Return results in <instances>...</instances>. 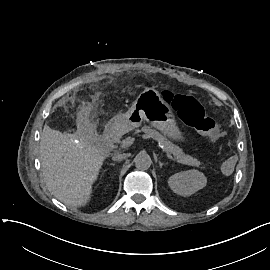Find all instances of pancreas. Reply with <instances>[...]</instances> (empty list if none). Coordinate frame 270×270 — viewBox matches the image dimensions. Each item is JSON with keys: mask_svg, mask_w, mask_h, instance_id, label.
I'll return each mask as SVG.
<instances>
[{"mask_svg": "<svg viewBox=\"0 0 270 270\" xmlns=\"http://www.w3.org/2000/svg\"><path fill=\"white\" fill-rule=\"evenodd\" d=\"M141 131L146 133L154 140L158 141L161 145H163L165 151L167 153H171L175 157V160H177L179 163L197 167L200 166L201 164L200 161H198L196 158H193L190 155H186L179 146L173 144L157 130L152 129L149 126H143L141 128Z\"/></svg>", "mask_w": 270, "mask_h": 270, "instance_id": "obj_1", "label": "pancreas"}]
</instances>
